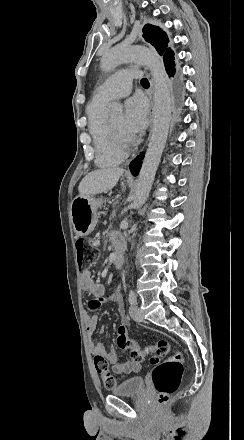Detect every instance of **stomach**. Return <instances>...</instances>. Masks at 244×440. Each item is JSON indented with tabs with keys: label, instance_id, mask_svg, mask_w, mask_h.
Returning <instances> with one entry per match:
<instances>
[{
	"label": "stomach",
	"instance_id": "0dacf381",
	"mask_svg": "<svg viewBox=\"0 0 244 440\" xmlns=\"http://www.w3.org/2000/svg\"><path fill=\"white\" fill-rule=\"evenodd\" d=\"M104 204L103 198L76 196L71 202L70 218L76 236H89L98 222V210Z\"/></svg>",
	"mask_w": 244,
	"mask_h": 440
}]
</instances>
